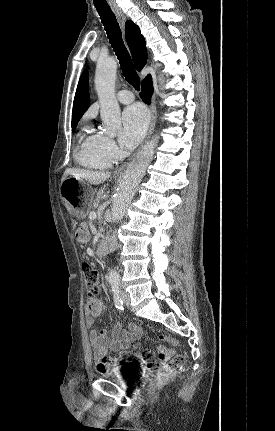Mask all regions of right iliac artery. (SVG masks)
<instances>
[{
	"label": "right iliac artery",
	"instance_id": "obj_1",
	"mask_svg": "<svg viewBox=\"0 0 275 431\" xmlns=\"http://www.w3.org/2000/svg\"><path fill=\"white\" fill-rule=\"evenodd\" d=\"M112 291H113V296H114V303H115V307L117 309H119L120 311L123 310V300L121 298V291H120V287L118 283H114L112 285Z\"/></svg>",
	"mask_w": 275,
	"mask_h": 431
}]
</instances>
